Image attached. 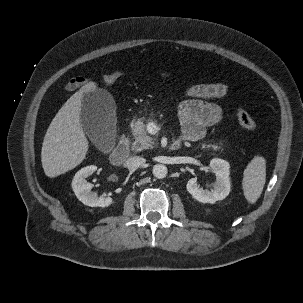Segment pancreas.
I'll list each match as a JSON object with an SVG mask.
<instances>
[{
    "instance_id": "cf45deb5",
    "label": "pancreas",
    "mask_w": 303,
    "mask_h": 303,
    "mask_svg": "<svg viewBox=\"0 0 303 303\" xmlns=\"http://www.w3.org/2000/svg\"><path fill=\"white\" fill-rule=\"evenodd\" d=\"M144 121V118H140L132 126V150L136 152L153 148L155 143L154 139L147 135ZM202 148H211L213 151L222 150V147L217 144H202Z\"/></svg>"
}]
</instances>
